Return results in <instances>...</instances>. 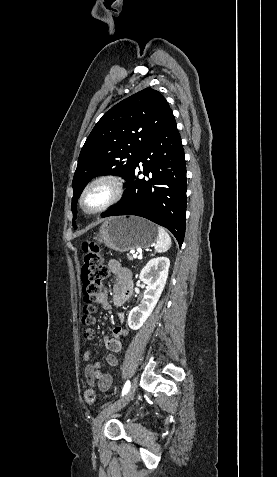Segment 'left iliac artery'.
Instances as JSON below:
<instances>
[{
  "mask_svg": "<svg viewBox=\"0 0 277 477\" xmlns=\"http://www.w3.org/2000/svg\"><path fill=\"white\" fill-rule=\"evenodd\" d=\"M129 388H130V381L128 380V381H126V383L123 387L122 396L125 395L128 392Z\"/></svg>",
  "mask_w": 277,
  "mask_h": 477,
  "instance_id": "44dca946",
  "label": "left iliac artery"
}]
</instances>
